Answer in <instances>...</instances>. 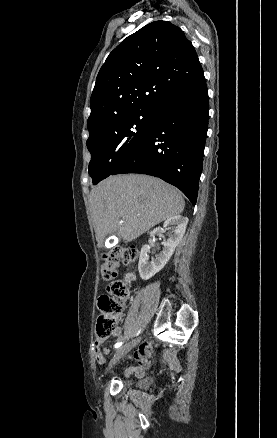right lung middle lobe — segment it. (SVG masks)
I'll list each match as a JSON object with an SVG mask.
<instances>
[{
	"label": "right lung middle lobe",
	"instance_id": "obj_1",
	"mask_svg": "<svg viewBox=\"0 0 277 438\" xmlns=\"http://www.w3.org/2000/svg\"><path fill=\"white\" fill-rule=\"evenodd\" d=\"M155 108L115 116L88 128L87 148L91 153L89 174L93 184L113 175L141 144L152 123Z\"/></svg>",
	"mask_w": 277,
	"mask_h": 438
}]
</instances>
